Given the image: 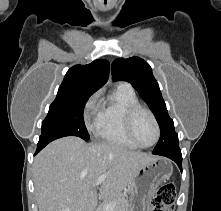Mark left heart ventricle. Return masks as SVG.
<instances>
[{"label":"left heart ventricle","instance_id":"obj_1","mask_svg":"<svg viewBox=\"0 0 221 211\" xmlns=\"http://www.w3.org/2000/svg\"><path fill=\"white\" fill-rule=\"evenodd\" d=\"M134 133L143 145H150L156 137V130L151 117L146 112H140L134 122Z\"/></svg>","mask_w":221,"mask_h":211}]
</instances>
